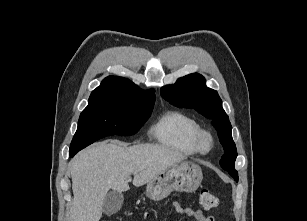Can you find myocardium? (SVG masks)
<instances>
[{
    "label": "myocardium",
    "instance_id": "obj_1",
    "mask_svg": "<svg viewBox=\"0 0 307 221\" xmlns=\"http://www.w3.org/2000/svg\"><path fill=\"white\" fill-rule=\"evenodd\" d=\"M194 145L196 150L200 153L205 154L210 152L214 146L212 134L205 129H200L194 137Z\"/></svg>",
    "mask_w": 307,
    "mask_h": 221
}]
</instances>
